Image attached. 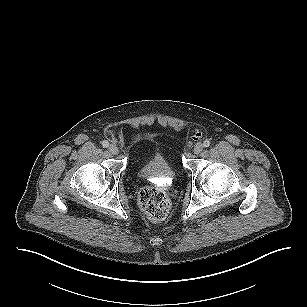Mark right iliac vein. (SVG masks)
Instances as JSON below:
<instances>
[{
    "label": "right iliac vein",
    "instance_id": "right-iliac-vein-1",
    "mask_svg": "<svg viewBox=\"0 0 307 307\" xmlns=\"http://www.w3.org/2000/svg\"><path fill=\"white\" fill-rule=\"evenodd\" d=\"M108 151L113 154V155H116L118 154L119 150H118V147L114 144H111L109 147H108Z\"/></svg>",
    "mask_w": 307,
    "mask_h": 307
}]
</instances>
